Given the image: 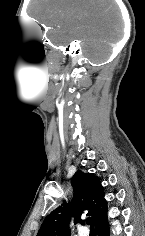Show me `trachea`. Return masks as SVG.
<instances>
[{"label": "trachea", "mask_w": 145, "mask_h": 236, "mask_svg": "<svg viewBox=\"0 0 145 236\" xmlns=\"http://www.w3.org/2000/svg\"><path fill=\"white\" fill-rule=\"evenodd\" d=\"M86 221H87V224L90 225V228H91V229H94V227H93V225H92V219H91V217H88Z\"/></svg>", "instance_id": "3493384b"}]
</instances>
